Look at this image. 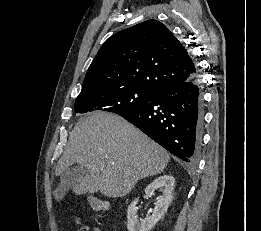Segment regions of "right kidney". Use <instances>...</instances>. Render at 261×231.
I'll list each match as a JSON object with an SVG mask.
<instances>
[{
  "mask_svg": "<svg viewBox=\"0 0 261 231\" xmlns=\"http://www.w3.org/2000/svg\"><path fill=\"white\" fill-rule=\"evenodd\" d=\"M174 185L175 178L171 175H162L150 183L145 189V194L151 196L155 190L159 189L162 195L154 203L153 214L145 219L137 218L138 207L136 205L139 200L138 198L129 205L127 210L128 231H150L166 213L173 198Z\"/></svg>",
  "mask_w": 261,
  "mask_h": 231,
  "instance_id": "ca27d5eb",
  "label": "right kidney"
}]
</instances>
